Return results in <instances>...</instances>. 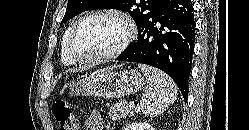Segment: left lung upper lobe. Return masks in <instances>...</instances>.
I'll return each mask as SVG.
<instances>
[{"label": "left lung upper lobe", "mask_w": 249, "mask_h": 130, "mask_svg": "<svg viewBox=\"0 0 249 130\" xmlns=\"http://www.w3.org/2000/svg\"><path fill=\"white\" fill-rule=\"evenodd\" d=\"M162 0H69L62 23L76 15L92 9L116 8L126 11L134 19L138 29L157 8Z\"/></svg>", "instance_id": "left-lung-upper-lobe-1"}]
</instances>
